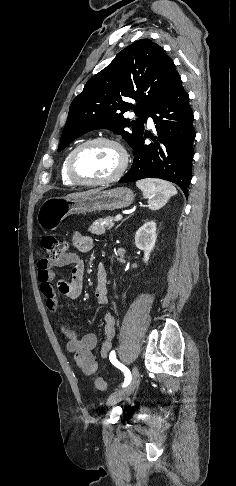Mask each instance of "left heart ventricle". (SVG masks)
Here are the masks:
<instances>
[{
    "instance_id": "b2bd125f",
    "label": "left heart ventricle",
    "mask_w": 236,
    "mask_h": 486,
    "mask_svg": "<svg viewBox=\"0 0 236 486\" xmlns=\"http://www.w3.org/2000/svg\"><path fill=\"white\" fill-rule=\"evenodd\" d=\"M121 154L114 146L99 143L83 149L75 159L76 173L88 180L107 178L120 167Z\"/></svg>"
}]
</instances>
